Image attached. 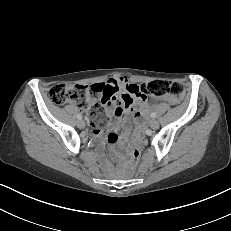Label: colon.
Wrapping results in <instances>:
<instances>
[{
	"instance_id": "colon-1",
	"label": "colon",
	"mask_w": 231,
	"mask_h": 231,
	"mask_svg": "<svg viewBox=\"0 0 231 231\" xmlns=\"http://www.w3.org/2000/svg\"><path fill=\"white\" fill-rule=\"evenodd\" d=\"M183 93L184 88L180 83L167 80H153L139 87V95L149 102L167 96L173 103H176ZM92 96L90 86L83 85L57 84L49 91V98L56 105L72 102L86 107L91 124L101 127L105 121L103 109L100 103L90 100ZM141 153L140 144L133 142L130 150L131 165L133 167L139 164Z\"/></svg>"
}]
</instances>
